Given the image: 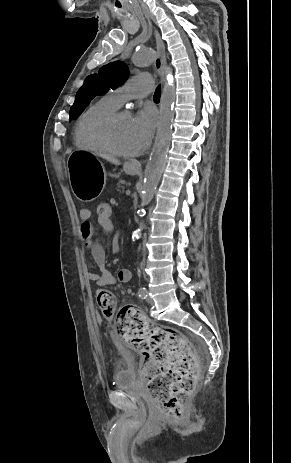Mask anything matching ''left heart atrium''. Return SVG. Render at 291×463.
I'll return each instance as SVG.
<instances>
[{"label":"left heart atrium","mask_w":291,"mask_h":463,"mask_svg":"<svg viewBox=\"0 0 291 463\" xmlns=\"http://www.w3.org/2000/svg\"><path fill=\"white\" fill-rule=\"evenodd\" d=\"M156 125L157 115L151 108L140 110L132 118V127L141 146L150 141Z\"/></svg>","instance_id":"39dd6f15"}]
</instances>
